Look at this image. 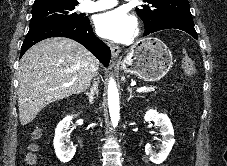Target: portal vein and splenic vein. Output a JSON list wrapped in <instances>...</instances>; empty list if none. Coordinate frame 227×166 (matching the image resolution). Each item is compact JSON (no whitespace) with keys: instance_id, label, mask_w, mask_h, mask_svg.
Masks as SVG:
<instances>
[{"instance_id":"obj_1","label":"portal vein and splenic vein","mask_w":227,"mask_h":166,"mask_svg":"<svg viewBox=\"0 0 227 166\" xmlns=\"http://www.w3.org/2000/svg\"><path fill=\"white\" fill-rule=\"evenodd\" d=\"M70 85H72L71 83H66L65 84V86H70ZM148 90V88L147 87H140V88H138L136 91L138 92V93H142V92H146Z\"/></svg>"}]
</instances>
